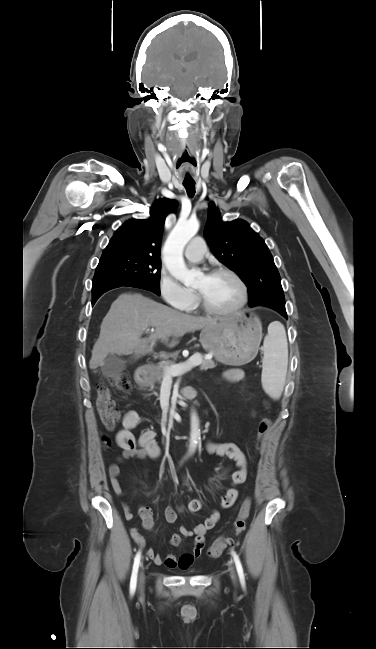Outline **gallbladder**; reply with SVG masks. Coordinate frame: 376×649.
<instances>
[{
  "instance_id": "obj_1",
  "label": "gallbladder",
  "mask_w": 376,
  "mask_h": 649,
  "mask_svg": "<svg viewBox=\"0 0 376 649\" xmlns=\"http://www.w3.org/2000/svg\"><path fill=\"white\" fill-rule=\"evenodd\" d=\"M125 368L126 361L122 357L116 354H108L101 367V372L104 376L115 377Z\"/></svg>"
}]
</instances>
